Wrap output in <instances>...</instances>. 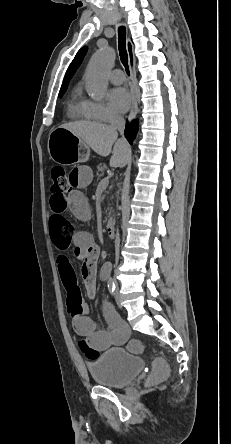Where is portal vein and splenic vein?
<instances>
[{"mask_svg": "<svg viewBox=\"0 0 231 444\" xmlns=\"http://www.w3.org/2000/svg\"><path fill=\"white\" fill-rule=\"evenodd\" d=\"M108 184H109V177H105L99 182L98 186L102 187V188H106L108 186Z\"/></svg>", "mask_w": 231, "mask_h": 444, "instance_id": "portal-vein-and-splenic-vein-1", "label": "portal vein and splenic vein"}]
</instances>
